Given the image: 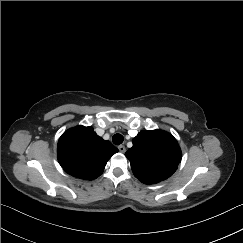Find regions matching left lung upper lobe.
Listing matches in <instances>:
<instances>
[{"label": "left lung upper lobe", "instance_id": "left-lung-upper-lobe-1", "mask_svg": "<svg viewBox=\"0 0 243 243\" xmlns=\"http://www.w3.org/2000/svg\"><path fill=\"white\" fill-rule=\"evenodd\" d=\"M133 147L125 156L134 176L145 184H155L170 177L181 161L176 139L162 130L141 131L132 140Z\"/></svg>", "mask_w": 243, "mask_h": 243}]
</instances>
